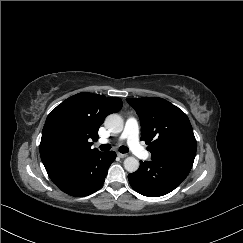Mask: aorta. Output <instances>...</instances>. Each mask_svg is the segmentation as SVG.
I'll return each mask as SVG.
<instances>
[{
	"label": "aorta",
	"instance_id": "762f6f07",
	"mask_svg": "<svg viewBox=\"0 0 243 243\" xmlns=\"http://www.w3.org/2000/svg\"><path fill=\"white\" fill-rule=\"evenodd\" d=\"M123 125V119L118 114H110L104 121L105 128L111 133H120L123 130ZM139 165V161L134 157H127L124 160V168L130 173L137 171Z\"/></svg>",
	"mask_w": 243,
	"mask_h": 243
}]
</instances>
